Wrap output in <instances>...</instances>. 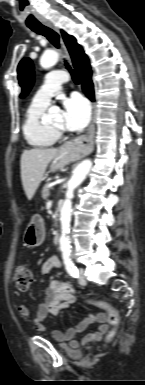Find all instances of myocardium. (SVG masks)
Listing matches in <instances>:
<instances>
[{"mask_svg": "<svg viewBox=\"0 0 145 385\" xmlns=\"http://www.w3.org/2000/svg\"><path fill=\"white\" fill-rule=\"evenodd\" d=\"M50 129L55 132L58 136L64 134V128L63 127H55L51 124H48Z\"/></svg>", "mask_w": 145, "mask_h": 385, "instance_id": "myocardium-1", "label": "myocardium"}]
</instances>
